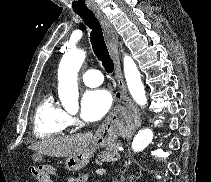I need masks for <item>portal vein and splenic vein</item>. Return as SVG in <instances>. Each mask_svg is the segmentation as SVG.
I'll list each match as a JSON object with an SVG mask.
<instances>
[{"label":"portal vein and splenic vein","instance_id":"1","mask_svg":"<svg viewBox=\"0 0 211 182\" xmlns=\"http://www.w3.org/2000/svg\"><path fill=\"white\" fill-rule=\"evenodd\" d=\"M120 151L122 150V149H119ZM105 172V169H97L96 170V173H100V174H103Z\"/></svg>","mask_w":211,"mask_h":182}]
</instances>
